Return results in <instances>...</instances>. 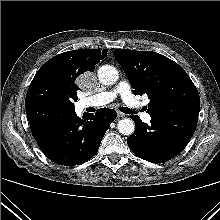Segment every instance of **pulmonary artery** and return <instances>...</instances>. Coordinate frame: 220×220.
<instances>
[{
	"mask_svg": "<svg viewBox=\"0 0 220 220\" xmlns=\"http://www.w3.org/2000/svg\"><path fill=\"white\" fill-rule=\"evenodd\" d=\"M121 96L123 102L132 110L137 112L143 121L150 122L151 116L142 111V103L133 95L130 84L127 81H121L112 90L101 92L88 97L85 100L87 106H102L113 101L117 96Z\"/></svg>",
	"mask_w": 220,
	"mask_h": 220,
	"instance_id": "obj_1",
	"label": "pulmonary artery"
}]
</instances>
